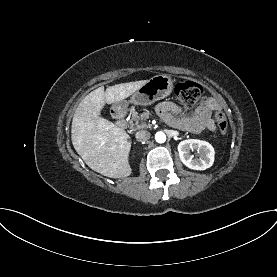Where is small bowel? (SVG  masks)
Wrapping results in <instances>:
<instances>
[{
    "mask_svg": "<svg viewBox=\"0 0 277 277\" xmlns=\"http://www.w3.org/2000/svg\"><path fill=\"white\" fill-rule=\"evenodd\" d=\"M220 108L221 105L215 98L206 97L191 116H183L180 108L171 101L161 102L157 106V112L170 126L199 134L215 130L212 114Z\"/></svg>",
    "mask_w": 277,
    "mask_h": 277,
    "instance_id": "small-bowel-1",
    "label": "small bowel"
}]
</instances>
